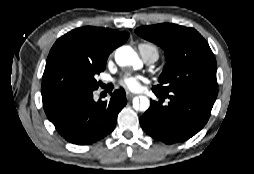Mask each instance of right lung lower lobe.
Listing matches in <instances>:
<instances>
[{"label":"right lung lower lobe","instance_id":"obj_1","mask_svg":"<svg viewBox=\"0 0 254 174\" xmlns=\"http://www.w3.org/2000/svg\"><path fill=\"white\" fill-rule=\"evenodd\" d=\"M93 91H72L43 99L48 119L73 144L88 145L108 135L127 103L123 89L112 93L109 102L94 101Z\"/></svg>","mask_w":254,"mask_h":174}]
</instances>
